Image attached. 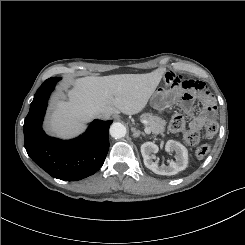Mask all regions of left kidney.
<instances>
[{
	"label": "left kidney",
	"instance_id": "1",
	"mask_svg": "<svg viewBox=\"0 0 245 245\" xmlns=\"http://www.w3.org/2000/svg\"><path fill=\"white\" fill-rule=\"evenodd\" d=\"M167 152H175L176 161L171 160L168 166H159L157 162H153V154L159 151V147L153 142H145L141 145V154L143 156L144 165L159 175H175L183 171L188 164V151L181 143L169 140L165 145Z\"/></svg>",
	"mask_w": 245,
	"mask_h": 245
}]
</instances>
